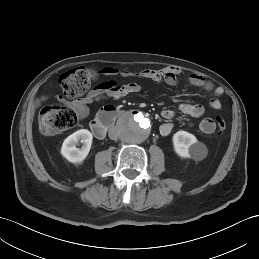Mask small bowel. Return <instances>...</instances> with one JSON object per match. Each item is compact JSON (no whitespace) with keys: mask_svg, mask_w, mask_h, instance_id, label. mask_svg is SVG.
<instances>
[{"mask_svg":"<svg viewBox=\"0 0 259 259\" xmlns=\"http://www.w3.org/2000/svg\"><path fill=\"white\" fill-rule=\"evenodd\" d=\"M105 76H122L125 78H140L152 81L154 83H165L169 86H175L178 83V77L184 73L183 69L179 66H169L160 70L146 69L138 73L131 72L125 69L115 67H105L102 69ZM189 82L197 87H201L212 93V99L209 102L213 110H220L222 105L220 97L223 95L221 87H215L205 78L192 74L189 76ZM141 89V86L136 82L120 84L113 79H108L100 82L92 89H90L83 97L67 101L62 96H57L56 99L69 107L76 110L81 118H85L89 114V105L105 99L117 100L130 94H134ZM44 98L41 99L43 101ZM179 110L185 115L199 118L204 115L205 107L201 104H193L182 102L179 104ZM161 116L167 122L160 127V133L164 136L172 132V120L175 118V112L171 109H164ZM199 129L202 133L210 135L215 132L216 124L211 118H204L199 124Z\"/></svg>","mask_w":259,"mask_h":259,"instance_id":"1","label":"small bowel"}]
</instances>
